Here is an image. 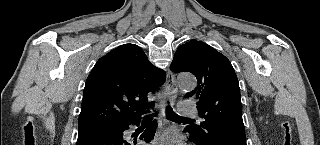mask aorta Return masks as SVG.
<instances>
[{
    "mask_svg": "<svg viewBox=\"0 0 320 145\" xmlns=\"http://www.w3.org/2000/svg\"><path fill=\"white\" fill-rule=\"evenodd\" d=\"M178 86L183 91L192 90L196 86V79L191 74H180L178 76Z\"/></svg>",
    "mask_w": 320,
    "mask_h": 145,
    "instance_id": "aorta-1",
    "label": "aorta"
}]
</instances>
